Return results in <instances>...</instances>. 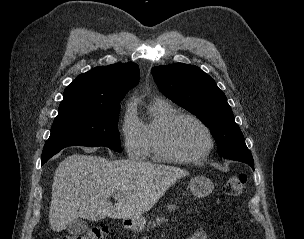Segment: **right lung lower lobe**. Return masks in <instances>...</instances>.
<instances>
[{
    "instance_id": "right-lung-lower-lobe-1",
    "label": "right lung lower lobe",
    "mask_w": 304,
    "mask_h": 239,
    "mask_svg": "<svg viewBox=\"0 0 304 239\" xmlns=\"http://www.w3.org/2000/svg\"><path fill=\"white\" fill-rule=\"evenodd\" d=\"M63 149V148H61ZM61 149L45 150L42 152V165L46 163L53 155L58 153Z\"/></svg>"
}]
</instances>
